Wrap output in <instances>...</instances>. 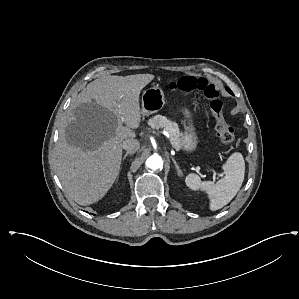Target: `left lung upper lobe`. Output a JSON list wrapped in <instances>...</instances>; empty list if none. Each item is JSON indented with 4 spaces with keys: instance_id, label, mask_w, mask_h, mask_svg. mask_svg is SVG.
Wrapping results in <instances>:
<instances>
[{
    "instance_id": "1",
    "label": "left lung upper lobe",
    "mask_w": 299,
    "mask_h": 299,
    "mask_svg": "<svg viewBox=\"0 0 299 299\" xmlns=\"http://www.w3.org/2000/svg\"><path fill=\"white\" fill-rule=\"evenodd\" d=\"M226 90L229 92V93H231L232 91L228 88V87H226Z\"/></svg>"
}]
</instances>
